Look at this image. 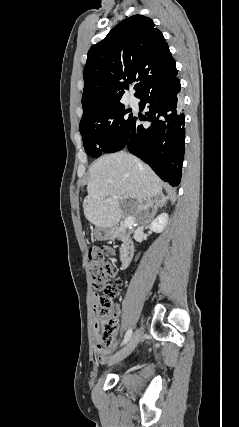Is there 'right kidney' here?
<instances>
[{
    "label": "right kidney",
    "mask_w": 239,
    "mask_h": 427,
    "mask_svg": "<svg viewBox=\"0 0 239 427\" xmlns=\"http://www.w3.org/2000/svg\"><path fill=\"white\" fill-rule=\"evenodd\" d=\"M167 222H168V214L162 213L153 220L149 228L153 232L160 233L166 227Z\"/></svg>",
    "instance_id": "ca27d5eb"
}]
</instances>
